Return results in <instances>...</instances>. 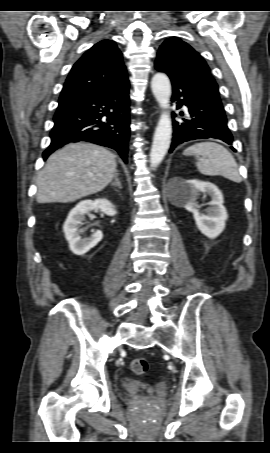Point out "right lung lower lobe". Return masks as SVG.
Listing matches in <instances>:
<instances>
[{"mask_svg": "<svg viewBox=\"0 0 270 453\" xmlns=\"http://www.w3.org/2000/svg\"><path fill=\"white\" fill-rule=\"evenodd\" d=\"M129 105L128 78L103 93L59 101L44 160L68 143L87 141L115 149L127 163Z\"/></svg>", "mask_w": 270, "mask_h": 453, "instance_id": "98d812e1", "label": "right lung lower lobe"}]
</instances>
